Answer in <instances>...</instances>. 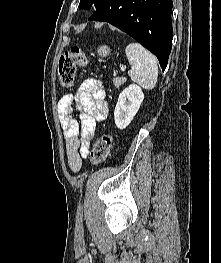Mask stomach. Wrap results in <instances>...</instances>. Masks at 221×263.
Returning <instances> with one entry per match:
<instances>
[{
    "mask_svg": "<svg viewBox=\"0 0 221 263\" xmlns=\"http://www.w3.org/2000/svg\"><path fill=\"white\" fill-rule=\"evenodd\" d=\"M110 52V49L105 45V46H101L99 49H98V54L100 56H107Z\"/></svg>",
    "mask_w": 221,
    "mask_h": 263,
    "instance_id": "0dacf381",
    "label": "stomach"
}]
</instances>
